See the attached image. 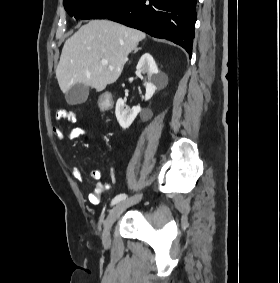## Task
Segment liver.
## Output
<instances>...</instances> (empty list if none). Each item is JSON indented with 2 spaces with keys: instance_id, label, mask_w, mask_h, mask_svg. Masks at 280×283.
<instances>
[{
  "instance_id": "liver-1",
  "label": "liver",
  "mask_w": 280,
  "mask_h": 283,
  "mask_svg": "<svg viewBox=\"0 0 280 283\" xmlns=\"http://www.w3.org/2000/svg\"><path fill=\"white\" fill-rule=\"evenodd\" d=\"M146 34L108 20H92L64 43L56 77L63 93L77 83L102 91L122 73ZM101 60H107L103 65Z\"/></svg>"
}]
</instances>
